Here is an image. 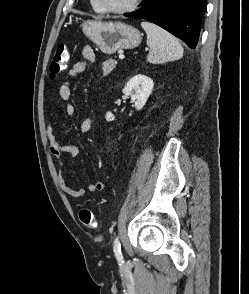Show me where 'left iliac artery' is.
I'll use <instances>...</instances> for the list:
<instances>
[{"label":"left iliac artery","mask_w":249,"mask_h":294,"mask_svg":"<svg viewBox=\"0 0 249 294\" xmlns=\"http://www.w3.org/2000/svg\"><path fill=\"white\" fill-rule=\"evenodd\" d=\"M113 250L118 262L123 263L124 261H123V256L121 253V245H120L119 237H116V239L114 240Z\"/></svg>","instance_id":"obj_1"}]
</instances>
